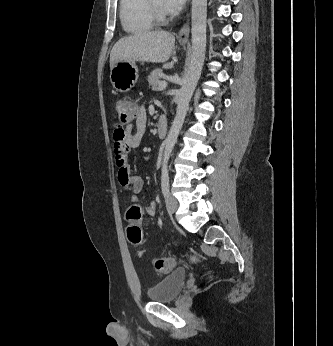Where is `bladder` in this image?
<instances>
[{"instance_id":"31cf9c89","label":"bladder","mask_w":333,"mask_h":346,"mask_svg":"<svg viewBox=\"0 0 333 346\" xmlns=\"http://www.w3.org/2000/svg\"><path fill=\"white\" fill-rule=\"evenodd\" d=\"M186 279L187 272L176 269L148 289V298L152 302L172 301L180 294Z\"/></svg>"}]
</instances>
